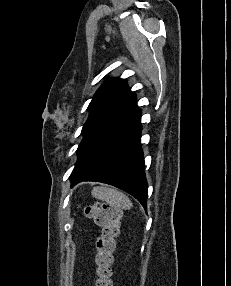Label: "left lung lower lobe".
<instances>
[{"instance_id":"obj_1","label":"left lung lower lobe","mask_w":231,"mask_h":286,"mask_svg":"<svg viewBox=\"0 0 231 286\" xmlns=\"http://www.w3.org/2000/svg\"><path fill=\"white\" fill-rule=\"evenodd\" d=\"M135 102L133 94L84 135L70 180L72 186L81 181L113 185L134 196L146 209L148 185L140 148L141 111Z\"/></svg>"}]
</instances>
